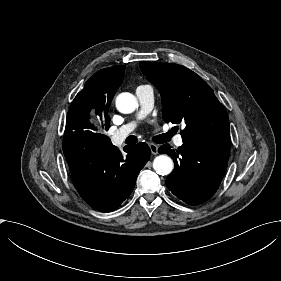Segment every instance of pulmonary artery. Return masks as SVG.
Here are the masks:
<instances>
[{
  "label": "pulmonary artery",
  "instance_id": "1",
  "mask_svg": "<svg viewBox=\"0 0 281 281\" xmlns=\"http://www.w3.org/2000/svg\"><path fill=\"white\" fill-rule=\"evenodd\" d=\"M136 95L141 106V113L143 115L151 111L154 105V94L151 88L147 86L138 87L136 90ZM134 129V123L126 124L120 127L116 132L111 136V141L113 145L117 148L122 147L124 141L129 136V134ZM174 143L177 146L183 145V140L180 134L174 137Z\"/></svg>",
  "mask_w": 281,
  "mask_h": 281
}]
</instances>
